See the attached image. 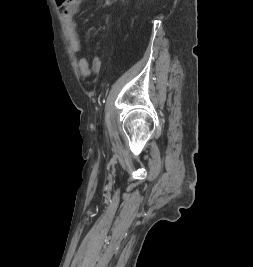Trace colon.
<instances>
[{
	"label": "colon",
	"mask_w": 253,
	"mask_h": 267,
	"mask_svg": "<svg viewBox=\"0 0 253 267\" xmlns=\"http://www.w3.org/2000/svg\"><path fill=\"white\" fill-rule=\"evenodd\" d=\"M57 2L62 6H69L75 2V0H57Z\"/></svg>",
	"instance_id": "1"
}]
</instances>
